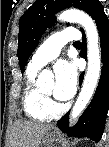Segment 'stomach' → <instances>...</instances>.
Listing matches in <instances>:
<instances>
[{
  "mask_svg": "<svg viewBox=\"0 0 109 147\" xmlns=\"http://www.w3.org/2000/svg\"><path fill=\"white\" fill-rule=\"evenodd\" d=\"M59 132L54 127L50 129L42 140V145L47 147L50 143L57 139Z\"/></svg>",
  "mask_w": 109,
  "mask_h": 147,
  "instance_id": "1",
  "label": "stomach"
}]
</instances>
